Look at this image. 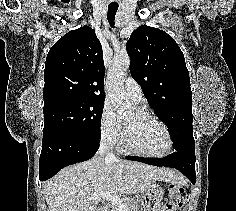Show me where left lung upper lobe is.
I'll list each match as a JSON object with an SVG mask.
<instances>
[{
  "label": "left lung upper lobe",
  "mask_w": 236,
  "mask_h": 211,
  "mask_svg": "<svg viewBox=\"0 0 236 211\" xmlns=\"http://www.w3.org/2000/svg\"><path fill=\"white\" fill-rule=\"evenodd\" d=\"M126 49L131 76L169 129L175 151L195 152L189 71L175 40L160 29L142 25L132 32Z\"/></svg>",
  "instance_id": "1"
}]
</instances>
